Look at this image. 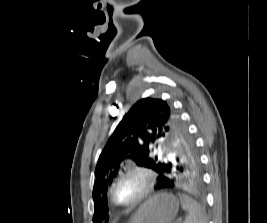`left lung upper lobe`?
<instances>
[{
    "mask_svg": "<svg viewBox=\"0 0 267 223\" xmlns=\"http://www.w3.org/2000/svg\"><path fill=\"white\" fill-rule=\"evenodd\" d=\"M158 139L171 148L170 159L152 154V144ZM128 158L157 173L201 171L194 141L173 107L161 99H141L118 124L97 162L94 223L108 219L106 192Z\"/></svg>",
    "mask_w": 267,
    "mask_h": 223,
    "instance_id": "1",
    "label": "left lung upper lobe"
}]
</instances>
